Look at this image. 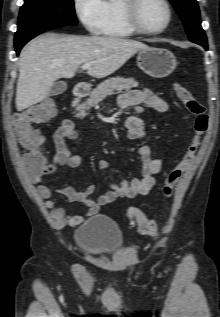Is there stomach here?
Instances as JSON below:
<instances>
[{
	"label": "stomach",
	"instance_id": "stomach-1",
	"mask_svg": "<svg viewBox=\"0 0 220 317\" xmlns=\"http://www.w3.org/2000/svg\"><path fill=\"white\" fill-rule=\"evenodd\" d=\"M138 67L151 77L163 78L171 74L177 66L174 54L164 48L147 47L137 56Z\"/></svg>",
	"mask_w": 220,
	"mask_h": 317
}]
</instances>
